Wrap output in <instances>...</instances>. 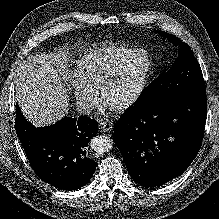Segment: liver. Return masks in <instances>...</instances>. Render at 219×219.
Returning a JSON list of instances; mask_svg holds the SVG:
<instances>
[{"label": "liver", "instance_id": "6515ba94", "mask_svg": "<svg viewBox=\"0 0 219 219\" xmlns=\"http://www.w3.org/2000/svg\"><path fill=\"white\" fill-rule=\"evenodd\" d=\"M65 68L59 54L30 55L18 68L16 99L24 116L36 127L51 125L67 113Z\"/></svg>", "mask_w": 219, "mask_h": 219}]
</instances>
